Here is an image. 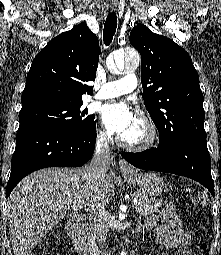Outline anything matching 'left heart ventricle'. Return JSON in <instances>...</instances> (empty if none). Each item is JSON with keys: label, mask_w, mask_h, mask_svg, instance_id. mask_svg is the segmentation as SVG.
<instances>
[{"label": "left heart ventricle", "mask_w": 221, "mask_h": 255, "mask_svg": "<svg viewBox=\"0 0 221 255\" xmlns=\"http://www.w3.org/2000/svg\"><path fill=\"white\" fill-rule=\"evenodd\" d=\"M146 130L143 124L136 118L131 128L121 137L129 142H138L145 138Z\"/></svg>", "instance_id": "1"}]
</instances>
